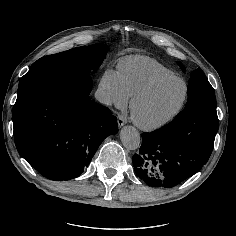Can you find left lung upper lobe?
I'll return each instance as SVG.
<instances>
[{"instance_id": "obj_1", "label": "left lung upper lobe", "mask_w": 236, "mask_h": 236, "mask_svg": "<svg viewBox=\"0 0 236 236\" xmlns=\"http://www.w3.org/2000/svg\"><path fill=\"white\" fill-rule=\"evenodd\" d=\"M178 65L181 67L182 71H185L184 66L180 62H178ZM187 95L188 99L185 108L192 105H207L216 107L214 89L200 68L192 71L191 73Z\"/></svg>"}]
</instances>
